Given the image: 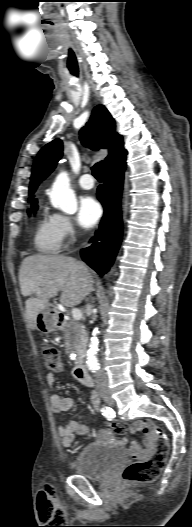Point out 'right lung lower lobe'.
Returning <instances> with one entry per match:
<instances>
[{"label":"right lung lower lobe","instance_id":"98d812e1","mask_svg":"<svg viewBox=\"0 0 192 527\" xmlns=\"http://www.w3.org/2000/svg\"><path fill=\"white\" fill-rule=\"evenodd\" d=\"M125 155L105 168L104 184L98 188V198L104 216L90 247L81 250L82 259L98 274L104 275L112 265L122 238L120 199L125 170Z\"/></svg>","mask_w":192,"mask_h":527}]
</instances>
